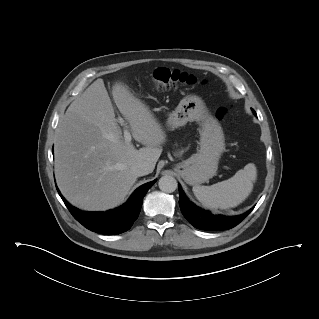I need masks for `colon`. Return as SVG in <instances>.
<instances>
[{
	"label": "colon",
	"mask_w": 319,
	"mask_h": 319,
	"mask_svg": "<svg viewBox=\"0 0 319 319\" xmlns=\"http://www.w3.org/2000/svg\"><path fill=\"white\" fill-rule=\"evenodd\" d=\"M152 81L159 91H172L181 85H193L197 82L193 75L168 68L156 69L153 73ZM227 111L226 107H219L216 111V117L220 120L224 119Z\"/></svg>",
	"instance_id": "colon-1"
}]
</instances>
